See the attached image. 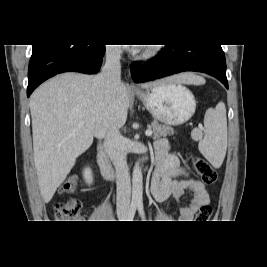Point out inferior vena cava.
<instances>
[{"instance_id":"602c4592","label":"inferior vena cava","mask_w":267,"mask_h":267,"mask_svg":"<svg viewBox=\"0 0 267 267\" xmlns=\"http://www.w3.org/2000/svg\"><path fill=\"white\" fill-rule=\"evenodd\" d=\"M120 54L121 50L117 47L107 48L106 63L98 75V80L109 89H114L121 84ZM104 149L116 170L117 210L119 212L127 211L131 199V181L124 138L117 126H112L107 131L104 139Z\"/></svg>"}]
</instances>
